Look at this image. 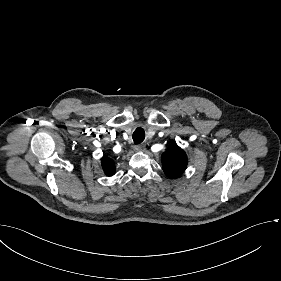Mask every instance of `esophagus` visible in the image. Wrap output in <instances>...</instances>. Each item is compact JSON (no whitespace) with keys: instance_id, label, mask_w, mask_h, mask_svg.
<instances>
[{"instance_id":"obj_1","label":"esophagus","mask_w":281,"mask_h":281,"mask_svg":"<svg viewBox=\"0 0 281 281\" xmlns=\"http://www.w3.org/2000/svg\"><path fill=\"white\" fill-rule=\"evenodd\" d=\"M144 149H145L144 144H138V145L134 146L135 151H143Z\"/></svg>"}]
</instances>
